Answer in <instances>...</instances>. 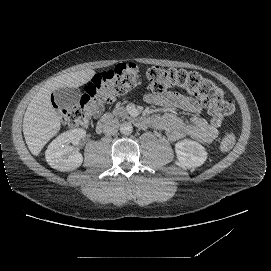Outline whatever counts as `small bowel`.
Wrapping results in <instances>:
<instances>
[{
	"mask_svg": "<svg viewBox=\"0 0 271 271\" xmlns=\"http://www.w3.org/2000/svg\"><path fill=\"white\" fill-rule=\"evenodd\" d=\"M145 101L151 105L179 109L191 115L189 119H184L172 113H166L151 119L153 126L165 130L172 141L191 138L210 143L218 136L217 126L203 117L206 112L205 106L190 95L177 92L164 95L149 93L145 95Z\"/></svg>",
	"mask_w": 271,
	"mask_h": 271,
	"instance_id": "1",
	"label": "small bowel"
}]
</instances>
